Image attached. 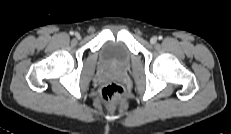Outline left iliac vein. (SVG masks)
I'll list each match as a JSON object with an SVG mask.
<instances>
[{
  "label": "left iliac vein",
  "instance_id": "1",
  "mask_svg": "<svg viewBox=\"0 0 231 134\" xmlns=\"http://www.w3.org/2000/svg\"><path fill=\"white\" fill-rule=\"evenodd\" d=\"M150 42L152 43V44H155L156 42H157V37H152L151 39H150Z\"/></svg>",
  "mask_w": 231,
  "mask_h": 134
}]
</instances>
